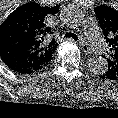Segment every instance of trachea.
<instances>
[{
    "mask_svg": "<svg viewBox=\"0 0 118 118\" xmlns=\"http://www.w3.org/2000/svg\"><path fill=\"white\" fill-rule=\"evenodd\" d=\"M68 37L73 38V39L76 40V41L78 40L77 35L74 34V33H71V32H68V33H66V34L64 35V38H68Z\"/></svg>",
    "mask_w": 118,
    "mask_h": 118,
    "instance_id": "1",
    "label": "trachea"
}]
</instances>
